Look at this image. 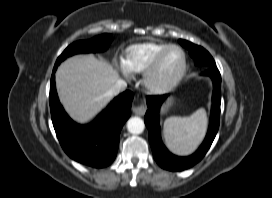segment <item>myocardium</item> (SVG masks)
Here are the masks:
<instances>
[{"mask_svg":"<svg viewBox=\"0 0 272 198\" xmlns=\"http://www.w3.org/2000/svg\"><path fill=\"white\" fill-rule=\"evenodd\" d=\"M173 49L179 50L183 55V65L180 72L169 80H162L159 77L160 68L165 56ZM188 69V58L185 50L178 45H169L162 50L155 60L152 62L150 67L144 74L143 85L145 89L153 94H162L174 89L184 78Z\"/></svg>","mask_w":272,"mask_h":198,"instance_id":"1","label":"myocardium"}]
</instances>
